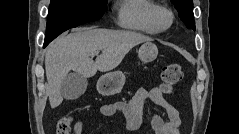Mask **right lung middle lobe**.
<instances>
[{
	"mask_svg": "<svg viewBox=\"0 0 239 134\" xmlns=\"http://www.w3.org/2000/svg\"><path fill=\"white\" fill-rule=\"evenodd\" d=\"M107 0H51L45 39H54L80 24L99 20Z\"/></svg>",
	"mask_w": 239,
	"mask_h": 134,
	"instance_id": "dd1d6c3e",
	"label": "right lung middle lobe"
}]
</instances>
